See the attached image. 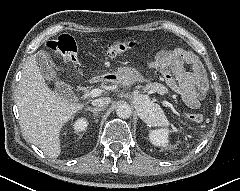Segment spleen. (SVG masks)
Here are the masks:
<instances>
[{
	"label": "spleen",
	"instance_id": "1",
	"mask_svg": "<svg viewBox=\"0 0 240 191\" xmlns=\"http://www.w3.org/2000/svg\"><path fill=\"white\" fill-rule=\"evenodd\" d=\"M141 118L149 127L158 126L164 127L163 129L167 130V127L170 125L162 109L154 103H150L149 101H145V111L143 114H141Z\"/></svg>",
	"mask_w": 240,
	"mask_h": 191
}]
</instances>
